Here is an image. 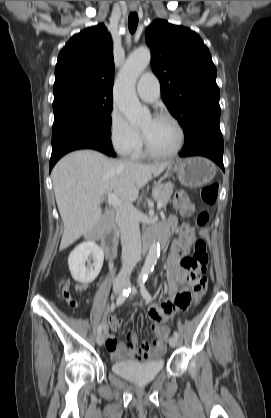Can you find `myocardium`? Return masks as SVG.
Listing matches in <instances>:
<instances>
[{"mask_svg":"<svg viewBox=\"0 0 271 418\" xmlns=\"http://www.w3.org/2000/svg\"><path fill=\"white\" fill-rule=\"evenodd\" d=\"M153 118H163V119H167L169 121H171L174 126L176 127L178 134H179V140H178V144L177 146L170 152H166V153H161V152H157L155 151L152 146L150 145L148 138L146 136V134L141 131L142 133V140L144 143V148H145V152L154 158H160V159H165V158H171L175 155H177L180 150L182 149L184 142H185V132L184 129L181 125V123L170 113L167 112H158L156 113Z\"/></svg>","mask_w":271,"mask_h":418,"instance_id":"1","label":"myocardium"}]
</instances>
